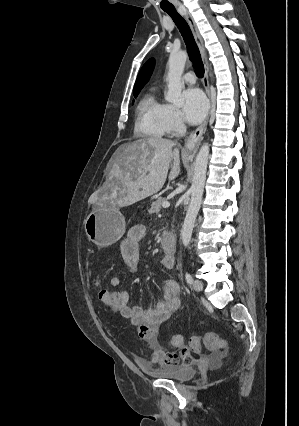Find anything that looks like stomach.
Instances as JSON below:
<instances>
[{"instance_id": "stomach-1", "label": "stomach", "mask_w": 299, "mask_h": 426, "mask_svg": "<svg viewBox=\"0 0 299 426\" xmlns=\"http://www.w3.org/2000/svg\"><path fill=\"white\" fill-rule=\"evenodd\" d=\"M125 228V218L115 205L98 206L85 220L86 235L99 247L116 243L123 236Z\"/></svg>"}]
</instances>
